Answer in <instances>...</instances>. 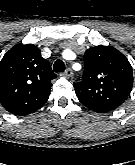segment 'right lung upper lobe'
<instances>
[{"mask_svg":"<svg viewBox=\"0 0 135 165\" xmlns=\"http://www.w3.org/2000/svg\"><path fill=\"white\" fill-rule=\"evenodd\" d=\"M56 77L33 44H17L0 61V102L12 114L24 116L48 100Z\"/></svg>","mask_w":135,"mask_h":165,"instance_id":"right-lung-upper-lobe-1","label":"right lung upper lobe"}]
</instances>
